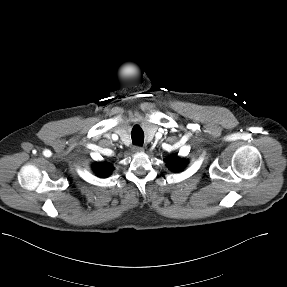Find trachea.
Returning <instances> with one entry per match:
<instances>
[{"instance_id":"trachea-1","label":"trachea","mask_w":287,"mask_h":287,"mask_svg":"<svg viewBox=\"0 0 287 287\" xmlns=\"http://www.w3.org/2000/svg\"><path fill=\"white\" fill-rule=\"evenodd\" d=\"M132 142L135 145L142 146L144 142V134L141 129H135L132 134Z\"/></svg>"}]
</instances>
